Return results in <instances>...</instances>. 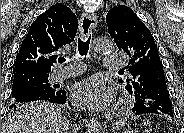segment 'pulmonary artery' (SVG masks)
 I'll return each mask as SVG.
<instances>
[{
	"mask_svg": "<svg viewBox=\"0 0 184 133\" xmlns=\"http://www.w3.org/2000/svg\"><path fill=\"white\" fill-rule=\"evenodd\" d=\"M126 63H127L126 57L122 54L107 55L105 57V63L103 68L105 70H120L126 66ZM82 71L83 67L79 64H76L73 66L56 70L53 73L52 78L55 81H62L69 77L78 75L82 73Z\"/></svg>",
	"mask_w": 184,
	"mask_h": 133,
	"instance_id": "obj_1",
	"label": "pulmonary artery"
}]
</instances>
